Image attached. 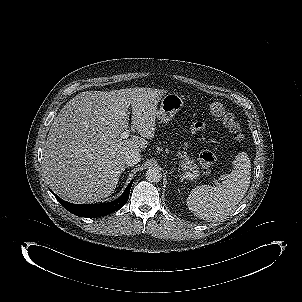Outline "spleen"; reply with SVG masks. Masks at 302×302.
<instances>
[{
	"label": "spleen",
	"mask_w": 302,
	"mask_h": 302,
	"mask_svg": "<svg viewBox=\"0 0 302 302\" xmlns=\"http://www.w3.org/2000/svg\"><path fill=\"white\" fill-rule=\"evenodd\" d=\"M232 164V170L222 184L197 186L191 191L186 203L195 216L217 221L229 215L245 196L251 178L250 160L241 153Z\"/></svg>",
	"instance_id": "1"
}]
</instances>
